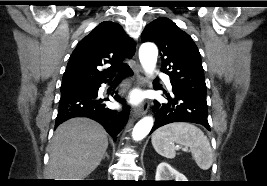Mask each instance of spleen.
Listing matches in <instances>:
<instances>
[{
	"label": "spleen",
	"instance_id": "1",
	"mask_svg": "<svg viewBox=\"0 0 267 186\" xmlns=\"http://www.w3.org/2000/svg\"><path fill=\"white\" fill-rule=\"evenodd\" d=\"M155 151L168 159L176 155L174 143L190 148L197 165L207 170L213 162L212 149L207 136L195 125L177 122L157 129L151 139Z\"/></svg>",
	"mask_w": 267,
	"mask_h": 186
}]
</instances>
